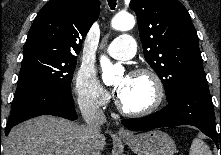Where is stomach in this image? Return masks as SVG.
<instances>
[{
    "label": "stomach",
    "mask_w": 221,
    "mask_h": 155,
    "mask_svg": "<svg viewBox=\"0 0 221 155\" xmlns=\"http://www.w3.org/2000/svg\"><path fill=\"white\" fill-rule=\"evenodd\" d=\"M122 139L136 155H175L177 153L172 138L160 130L122 137Z\"/></svg>",
    "instance_id": "stomach-1"
}]
</instances>
